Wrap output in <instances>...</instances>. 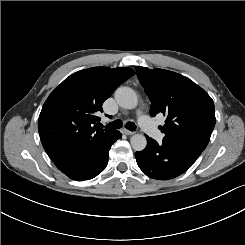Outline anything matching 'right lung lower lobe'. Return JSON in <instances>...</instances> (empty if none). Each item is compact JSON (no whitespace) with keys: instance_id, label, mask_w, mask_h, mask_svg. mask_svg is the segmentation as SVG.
Segmentation results:
<instances>
[{"instance_id":"obj_1","label":"right lung lower lobe","mask_w":245,"mask_h":245,"mask_svg":"<svg viewBox=\"0 0 245 245\" xmlns=\"http://www.w3.org/2000/svg\"><path fill=\"white\" fill-rule=\"evenodd\" d=\"M121 137L119 131L113 130L95 141L71 148L54 163L70 179H92L106 168L111 145Z\"/></svg>"}]
</instances>
